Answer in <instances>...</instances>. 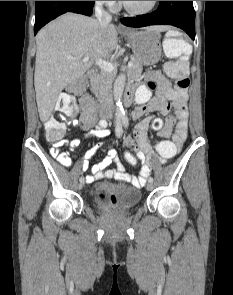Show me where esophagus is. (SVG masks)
Returning <instances> with one entry per match:
<instances>
[{"instance_id":"esophagus-1","label":"esophagus","mask_w":233,"mask_h":295,"mask_svg":"<svg viewBox=\"0 0 233 295\" xmlns=\"http://www.w3.org/2000/svg\"><path fill=\"white\" fill-rule=\"evenodd\" d=\"M118 30H119V31H122V32H127V31H128L127 27H125V26L122 25V24H119V26H118Z\"/></svg>"}]
</instances>
